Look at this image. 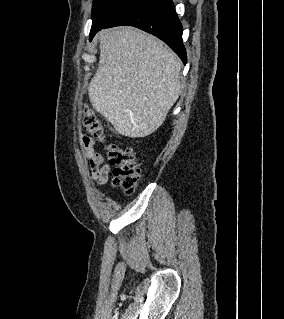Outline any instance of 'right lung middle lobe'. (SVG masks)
I'll return each instance as SVG.
<instances>
[{"mask_svg": "<svg viewBox=\"0 0 284 319\" xmlns=\"http://www.w3.org/2000/svg\"><path fill=\"white\" fill-rule=\"evenodd\" d=\"M136 0H94L92 8V27L90 36L93 32L106 25L113 17L122 10L130 6Z\"/></svg>", "mask_w": 284, "mask_h": 319, "instance_id": "dd1d6c3e", "label": "right lung middle lobe"}]
</instances>
